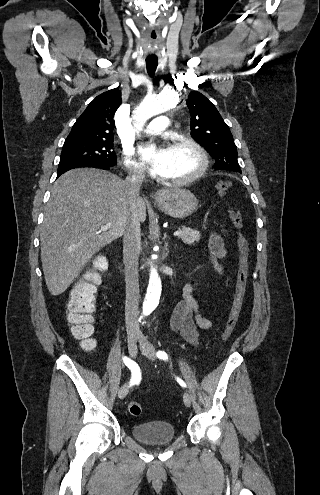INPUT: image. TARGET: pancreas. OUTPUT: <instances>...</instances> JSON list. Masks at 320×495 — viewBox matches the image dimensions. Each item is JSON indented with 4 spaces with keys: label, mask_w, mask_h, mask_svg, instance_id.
<instances>
[{
    "label": "pancreas",
    "mask_w": 320,
    "mask_h": 495,
    "mask_svg": "<svg viewBox=\"0 0 320 495\" xmlns=\"http://www.w3.org/2000/svg\"><path fill=\"white\" fill-rule=\"evenodd\" d=\"M182 234L179 236L185 244L192 245L200 240V233L190 227L183 226L179 228Z\"/></svg>",
    "instance_id": "pancreas-1"
}]
</instances>
